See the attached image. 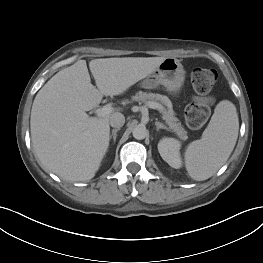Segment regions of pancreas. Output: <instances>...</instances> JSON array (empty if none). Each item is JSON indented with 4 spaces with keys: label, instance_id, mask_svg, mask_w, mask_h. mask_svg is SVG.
Masks as SVG:
<instances>
[{
    "label": "pancreas",
    "instance_id": "pancreas-1",
    "mask_svg": "<svg viewBox=\"0 0 263 263\" xmlns=\"http://www.w3.org/2000/svg\"><path fill=\"white\" fill-rule=\"evenodd\" d=\"M133 101H138L142 103L147 102H155L161 103L166 105L168 108L162 107L160 110L163 114V119L165 120L166 124L169 126V129L172 130L180 139L186 140L188 138L187 132L181 126L178 118L175 117L174 111L170 108L171 102L167 96L155 93H147L143 91H139L135 96L132 97Z\"/></svg>",
    "mask_w": 263,
    "mask_h": 263
}]
</instances>
